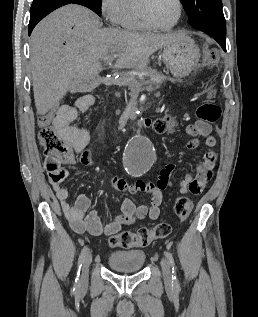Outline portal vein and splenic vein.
<instances>
[{
  "instance_id": "portal-vein-and-splenic-vein-1",
  "label": "portal vein and splenic vein",
  "mask_w": 258,
  "mask_h": 317,
  "mask_svg": "<svg viewBox=\"0 0 258 317\" xmlns=\"http://www.w3.org/2000/svg\"><path fill=\"white\" fill-rule=\"evenodd\" d=\"M113 58H117V54H112ZM104 60H107L108 64H111L112 60L110 56H105Z\"/></svg>"
}]
</instances>
